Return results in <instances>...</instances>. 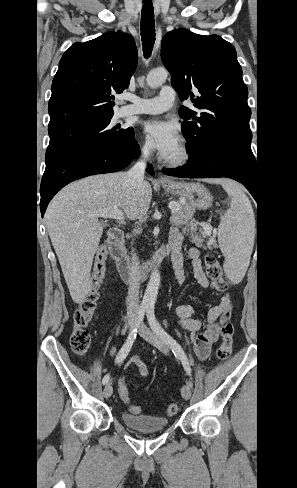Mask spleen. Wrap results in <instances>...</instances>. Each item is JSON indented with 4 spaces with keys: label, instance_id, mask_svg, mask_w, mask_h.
I'll return each mask as SVG.
<instances>
[{
    "label": "spleen",
    "instance_id": "1",
    "mask_svg": "<svg viewBox=\"0 0 297 488\" xmlns=\"http://www.w3.org/2000/svg\"><path fill=\"white\" fill-rule=\"evenodd\" d=\"M223 188L230 196L231 204L221 217L218 241L225 256L223 267L226 276L237 284L243 279L250 263L255 237L254 212L239 185L223 181Z\"/></svg>",
    "mask_w": 297,
    "mask_h": 488
}]
</instances>
